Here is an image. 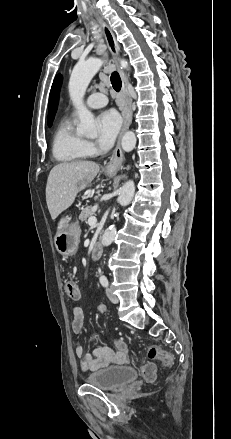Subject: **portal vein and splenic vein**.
<instances>
[{
	"instance_id": "1",
	"label": "portal vein and splenic vein",
	"mask_w": 231,
	"mask_h": 439,
	"mask_svg": "<svg viewBox=\"0 0 231 439\" xmlns=\"http://www.w3.org/2000/svg\"><path fill=\"white\" fill-rule=\"evenodd\" d=\"M90 226H93V225H95L96 223H97V218L96 217H94V216H92V217H90L89 219H88V222H87Z\"/></svg>"
}]
</instances>
